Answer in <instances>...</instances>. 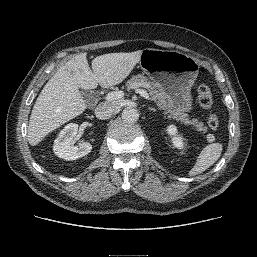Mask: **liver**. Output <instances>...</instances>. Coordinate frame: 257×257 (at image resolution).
<instances>
[{"label":"liver","mask_w":257,"mask_h":257,"mask_svg":"<svg viewBox=\"0 0 257 257\" xmlns=\"http://www.w3.org/2000/svg\"><path fill=\"white\" fill-rule=\"evenodd\" d=\"M141 51L97 56L89 67L85 53L76 55L46 83L30 115L28 141L39 144L49 133L82 114L87 105L79 89L120 84L140 60Z\"/></svg>","instance_id":"obj_1"}]
</instances>
